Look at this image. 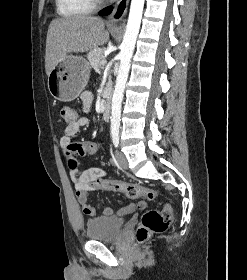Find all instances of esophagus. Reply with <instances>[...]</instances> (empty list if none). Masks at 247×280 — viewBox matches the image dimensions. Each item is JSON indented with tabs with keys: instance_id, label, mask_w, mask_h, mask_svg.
Instances as JSON below:
<instances>
[{
	"instance_id": "34e87169",
	"label": "esophagus",
	"mask_w": 247,
	"mask_h": 280,
	"mask_svg": "<svg viewBox=\"0 0 247 280\" xmlns=\"http://www.w3.org/2000/svg\"><path fill=\"white\" fill-rule=\"evenodd\" d=\"M129 0H118L109 16L108 23L115 24L120 22L127 12Z\"/></svg>"
}]
</instances>
